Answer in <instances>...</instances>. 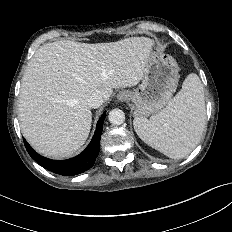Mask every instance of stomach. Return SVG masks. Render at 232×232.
Here are the masks:
<instances>
[{
  "label": "stomach",
  "instance_id": "stomach-1",
  "mask_svg": "<svg viewBox=\"0 0 232 232\" xmlns=\"http://www.w3.org/2000/svg\"><path fill=\"white\" fill-rule=\"evenodd\" d=\"M178 71L171 55L152 51L141 84L131 92L135 117L146 118L165 107L176 88Z\"/></svg>",
  "mask_w": 232,
  "mask_h": 232
}]
</instances>
